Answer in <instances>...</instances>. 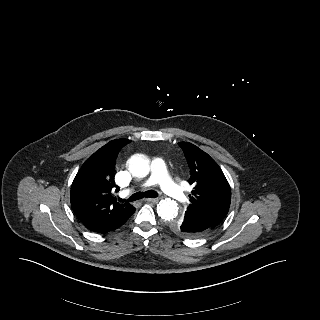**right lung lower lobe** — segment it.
Returning <instances> with one entry per match:
<instances>
[{"mask_svg":"<svg viewBox=\"0 0 320 320\" xmlns=\"http://www.w3.org/2000/svg\"><path fill=\"white\" fill-rule=\"evenodd\" d=\"M134 212H135V210H134ZM134 212H133V213H134ZM133 213H132V214H133ZM132 214H131V215H132ZM131 215H130V216H131ZM130 216H129V217H130ZM129 217L126 218V219H124V220H121V221H118V222H115V223H112V224L105 225V226L101 227L100 229L96 230L95 232L104 234V233H107V232L116 230L117 228H119L120 226H122V225L129 219Z\"/></svg>","mask_w":320,"mask_h":320,"instance_id":"obj_1","label":"right lung lower lobe"}]
</instances>
